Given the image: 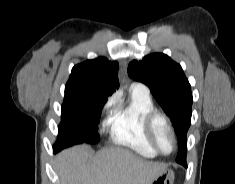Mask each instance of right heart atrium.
<instances>
[{
	"mask_svg": "<svg viewBox=\"0 0 235 184\" xmlns=\"http://www.w3.org/2000/svg\"><path fill=\"white\" fill-rule=\"evenodd\" d=\"M119 102V98L116 94L111 95L103 105V113L105 117L102 119L100 123V134H103L111 125L112 120V112L116 109Z\"/></svg>",
	"mask_w": 235,
	"mask_h": 184,
	"instance_id": "obj_1",
	"label": "right heart atrium"
}]
</instances>
